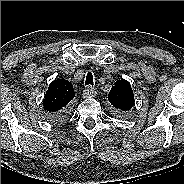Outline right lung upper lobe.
I'll list each match as a JSON object with an SVG mask.
<instances>
[{"label": "right lung upper lobe", "instance_id": "1", "mask_svg": "<svg viewBox=\"0 0 184 184\" xmlns=\"http://www.w3.org/2000/svg\"><path fill=\"white\" fill-rule=\"evenodd\" d=\"M73 85L61 78L50 83L46 91L43 108L49 115L64 111L67 104L74 98Z\"/></svg>", "mask_w": 184, "mask_h": 184}]
</instances>
